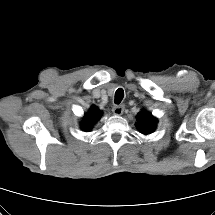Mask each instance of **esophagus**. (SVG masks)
I'll list each match as a JSON object with an SVG mask.
<instances>
[{
	"label": "esophagus",
	"instance_id": "34e87169",
	"mask_svg": "<svg viewBox=\"0 0 215 215\" xmlns=\"http://www.w3.org/2000/svg\"><path fill=\"white\" fill-rule=\"evenodd\" d=\"M112 111L115 115H121L124 111V105H115Z\"/></svg>",
	"mask_w": 215,
	"mask_h": 215
}]
</instances>
